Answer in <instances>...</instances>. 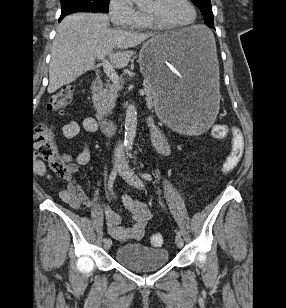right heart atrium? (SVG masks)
Here are the masks:
<instances>
[{
    "instance_id": "d8ad5b80",
    "label": "right heart atrium",
    "mask_w": 286,
    "mask_h": 308,
    "mask_svg": "<svg viewBox=\"0 0 286 308\" xmlns=\"http://www.w3.org/2000/svg\"><path fill=\"white\" fill-rule=\"evenodd\" d=\"M108 13L112 25L121 29H135L144 18L129 0H109Z\"/></svg>"
}]
</instances>
